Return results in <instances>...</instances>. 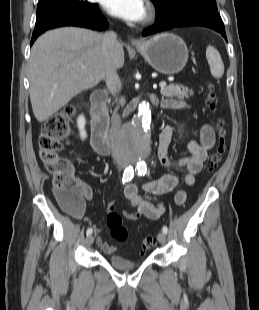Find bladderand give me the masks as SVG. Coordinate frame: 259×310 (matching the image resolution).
Returning <instances> with one entry per match:
<instances>
[{
    "mask_svg": "<svg viewBox=\"0 0 259 310\" xmlns=\"http://www.w3.org/2000/svg\"><path fill=\"white\" fill-rule=\"evenodd\" d=\"M108 263L117 269L127 270L133 269L137 266V263L134 261H130L125 257L117 254H112L108 257Z\"/></svg>",
    "mask_w": 259,
    "mask_h": 310,
    "instance_id": "31cf9c89",
    "label": "bladder"
}]
</instances>
